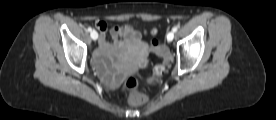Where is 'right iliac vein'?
<instances>
[{
	"label": "right iliac vein",
	"mask_w": 276,
	"mask_h": 120,
	"mask_svg": "<svg viewBox=\"0 0 276 120\" xmlns=\"http://www.w3.org/2000/svg\"><path fill=\"white\" fill-rule=\"evenodd\" d=\"M91 38L93 39V40H97V38H98V33L96 32V31H91Z\"/></svg>",
	"instance_id": "1"
}]
</instances>
